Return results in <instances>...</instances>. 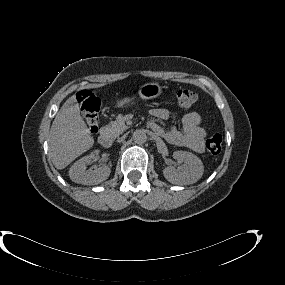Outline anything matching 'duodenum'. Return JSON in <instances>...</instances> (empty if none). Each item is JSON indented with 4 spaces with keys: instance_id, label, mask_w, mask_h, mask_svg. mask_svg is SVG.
I'll return each instance as SVG.
<instances>
[{
    "instance_id": "obj_1",
    "label": "duodenum",
    "mask_w": 285,
    "mask_h": 285,
    "mask_svg": "<svg viewBox=\"0 0 285 285\" xmlns=\"http://www.w3.org/2000/svg\"><path fill=\"white\" fill-rule=\"evenodd\" d=\"M98 140H99L100 144L104 147H109L111 145V142H112L109 133L105 132V131H103L99 134Z\"/></svg>"
}]
</instances>
